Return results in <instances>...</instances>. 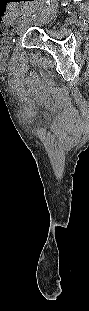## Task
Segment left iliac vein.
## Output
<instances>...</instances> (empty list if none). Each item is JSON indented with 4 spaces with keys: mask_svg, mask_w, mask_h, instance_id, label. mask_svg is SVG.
<instances>
[{
    "mask_svg": "<svg viewBox=\"0 0 89 311\" xmlns=\"http://www.w3.org/2000/svg\"><path fill=\"white\" fill-rule=\"evenodd\" d=\"M52 4L50 6V9L48 10L45 18L47 19L49 17V15L51 14V12L54 11V8H55V3H56V0H52L51 1ZM32 19H28L26 20L25 24H21L18 29H17V34L18 35H21L23 33V31L25 30V28L31 23Z\"/></svg>",
    "mask_w": 89,
    "mask_h": 311,
    "instance_id": "obj_1",
    "label": "left iliac vein"
}]
</instances>
